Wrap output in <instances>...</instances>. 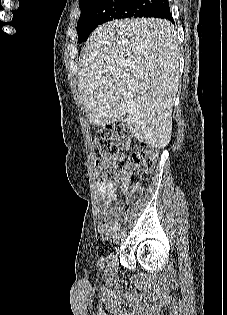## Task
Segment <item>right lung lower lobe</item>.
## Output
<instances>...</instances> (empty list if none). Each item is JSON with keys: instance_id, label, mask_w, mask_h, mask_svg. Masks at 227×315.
<instances>
[{"instance_id": "right-lung-lower-lobe-1", "label": "right lung lower lobe", "mask_w": 227, "mask_h": 315, "mask_svg": "<svg viewBox=\"0 0 227 315\" xmlns=\"http://www.w3.org/2000/svg\"><path fill=\"white\" fill-rule=\"evenodd\" d=\"M143 17H157L168 19L172 22L168 0H159L153 7L146 11Z\"/></svg>"}]
</instances>
